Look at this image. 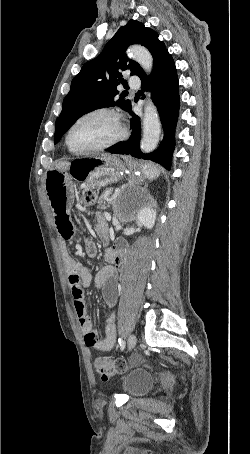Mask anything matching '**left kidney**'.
Listing matches in <instances>:
<instances>
[{"label":"left kidney","mask_w":250,"mask_h":454,"mask_svg":"<svg viewBox=\"0 0 250 454\" xmlns=\"http://www.w3.org/2000/svg\"><path fill=\"white\" fill-rule=\"evenodd\" d=\"M157 212L151 207L143 208L138 214V222L148 229L153 228L156 220Z\"/></svg>","instance_id":"left-kidney-1"}]
</instances>
